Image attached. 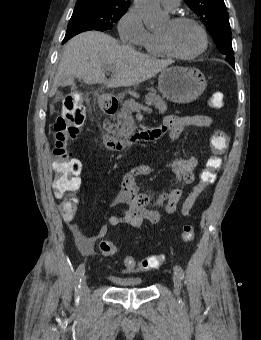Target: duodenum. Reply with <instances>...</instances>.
<instances>
[{
  "mask_svg": "<svg viewBox=\"0 0 261 340\" xmlns=\"http://www.w3.org/2000/svg\"><path fill=\"white\" fill-rule=\"evenodd\" d=\"M101 109L107 115L114 114L118 109L116 100H106L101 104ZM157 128H149L134 132L126 139H119L110 133L109 125L102 130V141L105 147L115 152H122L139 141L152 142L157 138Z\"/></svg>",
  "mask_w": 261,
  "mask_h": 340,
  "instance_id": "duodenum-1",
  "label": "duodenum"
}]
</instances>
